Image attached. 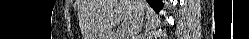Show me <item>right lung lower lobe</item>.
I'll list each match as a JSON object with an SVG mask.
<instances>
[{"label":"right lung lower lobe","instance_id":"1","mask_svg":"<svg viewBox=\"0 0 249 39\" xmlns=\"http://www.w3.org/2000/svg\"><path fill=\"white\" fill-rule=\"evenodd\" d=\"M152 8L157 10V12L162 8L163 3L161 0H147Z\"/></svg>","mask_w":249,"mask_h":39}]
</instances>
